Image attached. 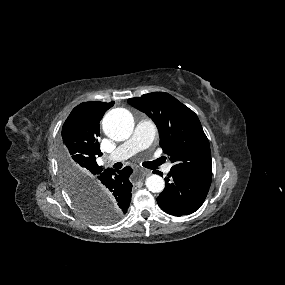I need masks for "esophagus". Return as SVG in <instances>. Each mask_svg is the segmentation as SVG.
Segmentation results:
<instances>
[{"label": "esophagus", "mask_w": 285, "mask_h": 285, "mask_svg": "<svg viewBox=\"0 0 285 285\" xmlns=\"http://www.w3.org/2000/svg\"><path fill=\"white\" fill-rule=\"evenodd\" d=\"M140 172L143 176H147L151 174V171L148 169H141Z\"/></svg>", "instance_id": "34e87169"}]
</instances>
